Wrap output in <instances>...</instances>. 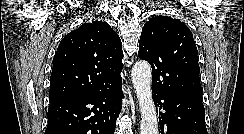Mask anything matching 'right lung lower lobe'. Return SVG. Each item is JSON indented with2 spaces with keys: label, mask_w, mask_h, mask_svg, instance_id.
Here are the masks:
<instances>
[{
  "label": "right lung lower lobe",
  "mask_w": 244,
  "mask_h": 134,
  "mask_svg": "<svg viewBox=\"0 0 244 134\" xmlns=\"http://www.w3.org/2000/svg\"><path fill=\"white\" fill-rule=\"evenodd\" d=\"M121 76L107 87L50 101L45 134H114L123 98Z\"/></svg>",
  "instance_id": "right-lung-lower-lobe-1"
}]
</instances>
